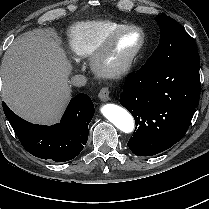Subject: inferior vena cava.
Returning a JSON list of instances; mask_svg holds the SVG:
<instances>
[{"label": "inferior vena cava", "instance_id": "inferior-vena-cava-1", "mask_svg": "<svg viewBox=\"0 0 209 209\" xmlns=\"http://www.w3.org/2000/svg\"><path fill=\"white\" fill-rule=\"evenodd\" d=\"M87 79L84 75H74L71 78V84L77 87L86 85Z\"/></svg>", "mask_w": 209, "mask_h": 209}]
</instances>
